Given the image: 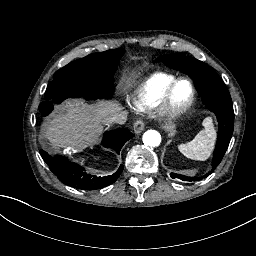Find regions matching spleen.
Segmentation results:
<instances>
[{
  "mask_svg": "<svg viewBox=\"0 0 256 256\" xmlns=\"http://www.w3.org/2000/svg\"><path fill=\"white\" fill-rule=\"evenodd\" d=\"M202 126L204 129L199 131L192 141L178 146L179 151L189 159L205 161L214 150L217 133L212 117H206Z\"/></svg>",
  "mask_w": 256,
  "mask_h": 256,
  "instance_id": "3e777b00",
  "label": "spleen"
}]
</instances>
